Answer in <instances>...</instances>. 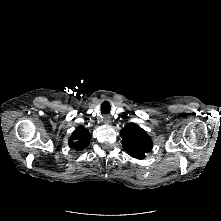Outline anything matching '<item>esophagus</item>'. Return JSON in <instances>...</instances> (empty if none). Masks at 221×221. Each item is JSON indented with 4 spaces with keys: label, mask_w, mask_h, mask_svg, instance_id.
<instances>
[{
    "label": "esophagus",
    "mask_w": 221,
    "mask_h": 221,
    "mask_svg": "<svg viewBox=\"0 0 221 221\" xmlns=\"http://www.w3.org/2000/svg\"><path fill=\"white\" fill-rule=\"evenodd\" d=\"M102 120L104 124H109L111 122L109 115H104Z\"/></svg>",
    "instance_id": "esophagus-1"
}]
</instances>
